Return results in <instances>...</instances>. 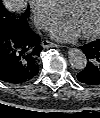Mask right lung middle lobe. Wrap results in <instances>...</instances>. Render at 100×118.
<instances>
[{
  "label": "right lung middle lobe",
  "mask_w": 100,
  "mask_h": 118,
  "mask_svg": "<svg viewBox=\"0 0 100 118\" xmlns=\"http://www.w3.org/2000/svg\"><path fill=\"white\" fill-rule=\"evenodd\" d=\"M0 9H1V11H2V17H1V19H0V24H2L3 22L6 21V19L10 18L11 15H9V14L5 11V9H4L3 6H1ZM29 14H30V11H29V7H28V9L26 10V12H25L22 16L15 17V18H21V19H23V20H26V19L29 17ZM12 17H14V16H12Z\"/></svg>",
  "instance_id": "obj_1"
}]
</instances>
